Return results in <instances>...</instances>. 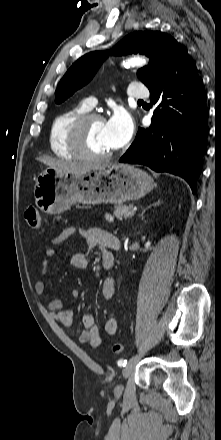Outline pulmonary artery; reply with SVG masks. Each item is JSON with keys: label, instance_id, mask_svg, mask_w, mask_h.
I'll return each mask as SVG.
<instances>
[{"label": "pulmonary artery", "instance_id": "obj_1", "mask_svg": "<svg viewBox=\"0 0 221 440\" xmlns=\"http://www.w3.org/2000/svg\"><path fill=\"white\" fill-rule=\"evenodd\" d=\"M126 93L129 97L134 98V99H144L149 96V91L146 88L141 87L138 84L130 85L127 88ZM87 103L89 104L90 107H93L96 105L97 101L95 98L89 97L87 99Z\"/></svg>", "mask_w": 221, "mask_h": 440}]
</instances>
